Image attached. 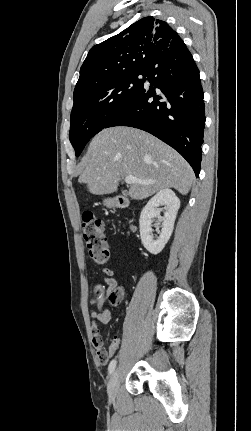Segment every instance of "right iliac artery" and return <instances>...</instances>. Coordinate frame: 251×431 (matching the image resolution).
I'll list each match as a JSON object with an SVG mask.
<instances>
[{"mask_svg": "<svg viewBox=\"0 0 251 431\" xmlns=\"http://www.w3.org/2000/svg\"><path fill=\"white\" fill-rule=\"evenodd\" d=\"M115 367H116V360H115V359H113V360L110 362L109 367H108L109 375H111V374L113 373V371H114Z\"/></svg>", "mask_w": 251, "mask_h": 431, "instance_id": "82829eb1", "label": "right iliac artery"}]
</instances>
